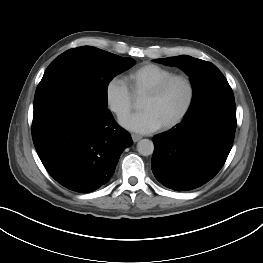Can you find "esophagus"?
Returning <instances> with one entry per match:
<instances>
[{
    "instance_id": "esophagus-1",
    "label": "esophagus",
    "mask_w": 263,
    "mask_h": 263,
    "mask_svg": "<svg viewBox=\"0 0 263 263\" xmlns=\"http://www.w3.org/2000/svg\"><path fill=\"white\" fill-rule=\"evenodd\" d=\"M131 137H132L133 142H137L142 138L140 135H137V134H131Z\"/></svg>"
}]
</instances>
